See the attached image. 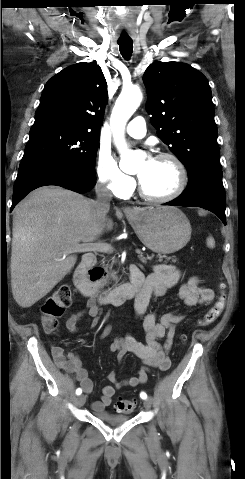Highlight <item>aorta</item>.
Segmentation results:
<instances>
[{"mask_svg":"<svg viewBox=\"0 0 245 479\" xmlns=\"http://www.w3.org/2000/svg\"><path fill=\"white\" fill-rule=\"evenodd\" d=\"M142 101V93L136 86L124 87L116 100L111 114L110 125L115 145L120 153L119 166L128 174L136 173L140 167L139 159L128 149L124 139V130L127 121L136 111Z\"/></svg>","mask_w":245,"mask_h":479,"instance_id":"1","label":"aorta"}]
</instances>
